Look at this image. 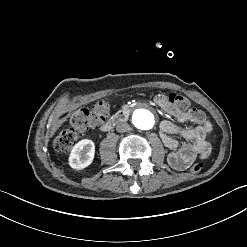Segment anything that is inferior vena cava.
<instances>
[{"instance_id":"1","label":"inferior vena cava","mask_w":247,"mask_h":247,"mask_svg":"<svg viewBox=\"0 0 247 247\" xmlns=\"http://www.w3.org/2000/svg\"><path fill=\"white\" fill-rule=\"evenodd\" d=\"M116 130L117 132H120V133L127 132L128 130H130V126L127 123L119 122L116 125Z\"/></svg>"}]
</instances>
